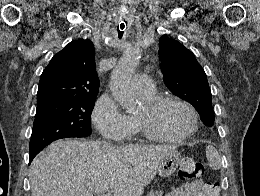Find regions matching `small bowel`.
Returning <instances> with one entry per match:
<instances>
[{
	"label": "small bowel",
	"mask_w": 260,
	"mask_h": 196,
	"mask_svg": "<svg viewBox=\"0 0 260 196\" xmlns=\"http://www.w3.org/2000/svg\"><path fill=\"white\" fill-rule=\"evenodd\" d=\"M207 185L202 179H193L173 188L167 196H211Z\"/></svg>",
	"instance_id": "obj_1"
}]
</instances>
